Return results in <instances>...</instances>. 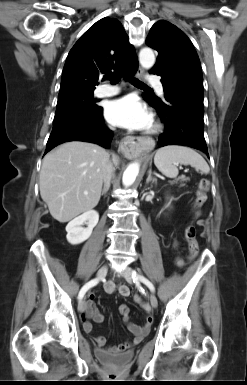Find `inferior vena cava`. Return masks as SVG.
Wrapping results in <instances>:
<instances>
[{
  "label": "inferior vena cava",
  "mask_w": 247,
  "mask_h": 385,
  "mask_svg": "<svg viewBox=\"0 0 247 385\" xmlns=\"http://www.w3.org/2000/svg\"><path fill=\"white\" fill-rule=\"evenodd\" d=\"M112 175H113V165L110 161H108L105 168L104 177H103L104 186H107V185L110 186Z\"/></svg>",
  "instance_id": "1"
}]
</instances>
